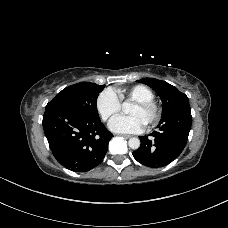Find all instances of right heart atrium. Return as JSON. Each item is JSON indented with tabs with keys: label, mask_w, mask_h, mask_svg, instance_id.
Wrapping results in <instances>:
<instances>
[{
	"label": "right heart atrium",
	"mask_w": 228,
	"mask_h": 228,
	"mask_svg": "<svg viewBox=\"0 0 228 228\" xmlns=\"http://www.w3.org/2000/svg\"><path fill=\"white\" fill-rule=\"evenodd\" d=\"M95 105L101 118L106 121L120 111L121 99L115 90L106 88L99 93Z\"/></svg>",
	"instance_id": "right-heart-atrium-1"
}]
</instances>
